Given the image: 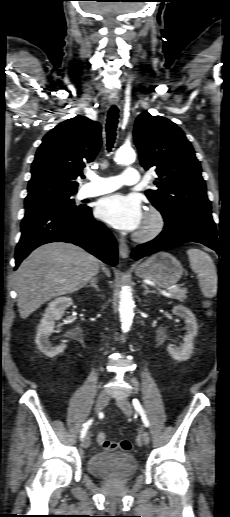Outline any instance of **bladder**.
Here are the masks:
<instances>
[{
	"label": "bladder",
	"instance_id": "obj_1",
	"mask_svg": "<svg viewBox=\"0 0 230 517\" xmlns=\"http://www.w3.org/2000/svg\"><path fill=\"white\" fill-rule=\"evenodd\" d=\"M87 468L90 474L98 478L122 479L136 473L137 462L127 452H99L90 457Z\"/></svg>",
	"mask_w": 230,
	"mask_h": 517
}]
</instances>
